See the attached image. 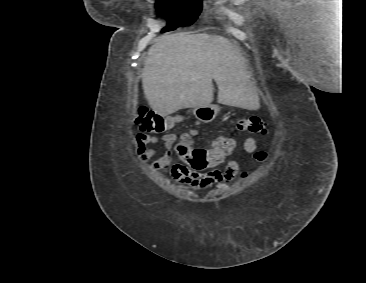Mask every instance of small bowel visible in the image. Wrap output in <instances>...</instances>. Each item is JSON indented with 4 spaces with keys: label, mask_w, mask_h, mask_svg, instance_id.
<instances>
[{
    "label": "small bowel",
    "mask_w": 366,
    "mask_h": 283,
    "mask_svg": "<svg viewBox=\"0 0 366 283\" xmlns=\"http://www.w3.org/2000/svg\"><path fill=\"white\" fill-rule=\"evenodd\" d=\"M161 141L163 143V153L151 165L152 169L169 174L176 182L184 185L190 190H203L214 185L229 184L238 175L240 171L239 164L236 161H229L224 170L217 167L225 162L226 157L231 153L223 154L218 149H215L219 161L213 166L203 170L196 171L186 167L183 164H172V149L176 142L174 134H165L161 138L150 136L147 134H138L137 155L140 161H147L153 157L158 150L148 147L150 144H155ZM257 147L256 140L253 137H247L244 141L243 148L246 153L255 152Z\"/></svg>",
    "instance_id": "small-bowel-1"
}]
</instances>
